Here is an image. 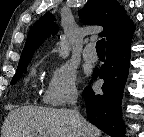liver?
<instances>
[{
	"label": "liver",
	"mask_w": 144,
	"mask_h": 137,
	"mask_svg": "<svg viewBox=\"0 0 144 137\" xmlns=\"http://www.w3.org/2000/svg\"><path fill=\"white\" fill-rule=\"evenodd\" d=\"M86 137H100L101 131L82 118ZM48 135V136H45ZM72 110L25 106L8 113L2 137H77Z\"/></svg>",
	"instance_id": "6515ba94"
}]
</instances>
